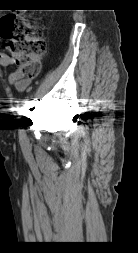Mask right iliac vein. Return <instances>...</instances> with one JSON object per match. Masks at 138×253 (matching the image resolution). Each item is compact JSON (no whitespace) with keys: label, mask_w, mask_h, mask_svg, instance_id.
Listing matches in <instances>:
<instances>
[{"label":"right iliac vein","mask_w":138,"mask_h":253,"mask_svg":"<svg viewBox=\"0 0 138 253\" xmlns=\"http://www.w3.org/2000/svg\"><path fill=\"white\" fill-rule=\"evenodd\" d=\"M29 115H26L25 124L22 125V134H25L27 130L29 129L28 125ZM23 135H21V139H23Z\"/></svg>","instance_id":"obj_1"}]
</instances>
